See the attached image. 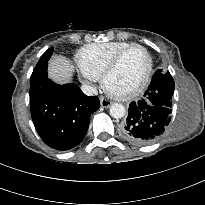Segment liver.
Returning <instances> with one entry per match:
<instances>
[{"label":"liver","instance_id":"obj_1","mask_svg":"<svg viewBox=\"0 0 205 205\" xmlns=\"http://www.w3.org/2000/svg\"><path fill=\"white\" fill-rule=\"evenodd\" d=\"M73 66L63 56H53L49 62L48 76L59 84L67 83L72 79Z\"/></svg>","mask_w":205,"mask_h":205}]
</instances>
